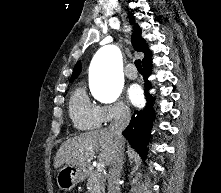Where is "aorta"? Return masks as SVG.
Instances as JSON below:
<instances>
[{
	"instance_id": "obj_1",
	"label": "aorta",
	"mask_w": 221,
	"mask_h": 193,
	"mask_svg": "<svg viewBox=\"0 0 221 193\" xmlns=\"http://www.w3.org/2000/svg\"><path fill=\"white\" fill-rule=\"evenodd\" d=\"M121 52L114 45L102 47L92 61L93 95L104 103L115 102L122 91Z\"/></svg>"
}]
</instances>
